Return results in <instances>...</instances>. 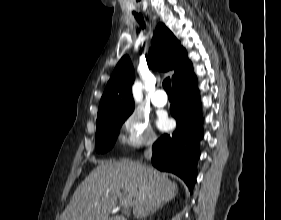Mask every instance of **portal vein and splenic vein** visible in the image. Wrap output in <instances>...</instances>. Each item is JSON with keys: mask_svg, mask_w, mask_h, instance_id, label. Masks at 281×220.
<instances>
[{"mask_svg": "<svg viewBox=\"0 0 281 220\" xmlns=\"http://www.w3.org/2000/svg\"><path fill=\"white\" fill-rule=\"evenodd\" d=\"M107 193H108V192H107ZM117 195H118L119 197H122V193H121V192H118ZM122 205H123L125 208H127V207H129V206L132 205V201L129 200V199H126V200L122 199Z\"/></svg>", "mask_w": 281, "mask_h": 220, "instance_id": "obj_1", "label": "portal vein and splenic vein"}]
</instances>
